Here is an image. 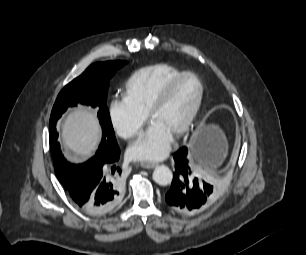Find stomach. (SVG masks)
I'll list each match as a JSON object with an SVG mask.
<instances>
[{"label":"stomach","mask_w":306,"mask_h":255,"mask_svg":"<svg viewBox=\"0 0 306 255\" xmlns=\"http://www.w3.org/2000/svg\"><path fill=\"white\" fill-rule=\"evenodd\" d=\"M190 146L195 162L216 167L225 155L226 142L218 126L202 123L193 135ZM210 151H214V156L207 159Z\"/></svg>","instance_id":"stomach-1"}]
</instances>
